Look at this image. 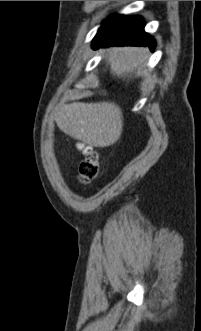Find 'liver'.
I'll return each instance as SVG.
<instances>
[{
	"instance_id": "liver-1",
	"label": "liver",
	"mask_w": 201,
	"mask_h": 331,
	"mask_svg": "<svg viewBox=\"0 0 201 331\" xmlns=\"http://www.w3.org/2000/svg\"><path fill=\"white\" fill-rule=\"evenodd\" d=\"M107 52L111 73L119 78L131 77L136 69L139 72L148 55V49L139 47H112ZM54 118L65 134L99 148L116 143L123 131L122 110L113 102L59 105Z\"/></svg>"
}]
</instances>
